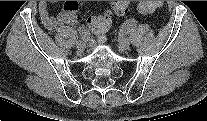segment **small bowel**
<instances>
[{
    "instance_id": "1",
    "label": "small bowel",
    "mask_w": 207,
    "mask_h": 121,
    "mask_svg": "<svg viewBox=\"0 0 207 121\" xmlns=\"http://www.w3.org/2000/svg\"><path fill=\"white\" fill-rule=\"evenodd\" d=\"M79 4L77 1H66L64 3L63 10L57 15H51L49 11V2L40 1L39 3V15L44 27L54 32L62 26H73L77 22V11Z\"/></svg>"
}]
</instances>
